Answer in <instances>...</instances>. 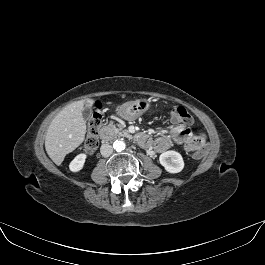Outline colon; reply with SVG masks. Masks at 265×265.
I'll use <instances>...</instances> for the list:
<instances>
[{"label": "colon", "instance_id": "1", "mask_svg": "<svg viewBox=\"0 0 265 265\" xmlns=\"http://www.w3.org/2000/svg\"><path fill=\"white\" fill-rule=\"evenodd\" d=\"M170 116L176 118L182 124H191L193 119L189 112L182 106L174 107L170 110ZM102 123V115L99 111L93 113L88 122V132L84 142V151L88 154L93 153L98 145V131ZM194 158L200 159L202 151L194 153Z\"/></svg>", "mask_w": 265, "mask_h": 265}]
</instances>
